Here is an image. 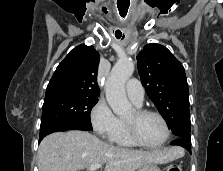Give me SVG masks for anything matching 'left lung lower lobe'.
<instances>
[{
  "label": "left lung lower lobe",
  "instance_id": "obj_1",
  "mask_svg": "<svg viewBox=\"0 0 223 171\" xmlns=\"http://www.w3.org/2000/svg\"><path fill=\"white\" fill-rule=\"evenodd\" d=\"M171 144L181 146L191 153V150H190L191 140H186L181 137H176L175 140Z\"/></svg>",
  "mask_w": 223,
  "mask_h": 171
}]
</instances>
